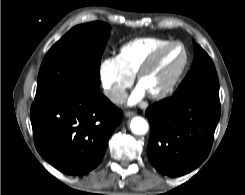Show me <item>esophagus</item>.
<instances>
[{
	"label": "esophagus",
	"mask_w": 245,
	"mask_h": 195,
	"mask_svg": "<svg viewBox=\"0 0 245 195\" xmlns=\"http://www.w3.org/2000/svg\"><path fill=\"white\" fill-rule=\"evenodd\" d=\"M136 115V112H134V111H126L125 112V116L126 117H133V116H135Z\"/></svg>",
	"instance_id": "obj_1"
}]
</instances>
